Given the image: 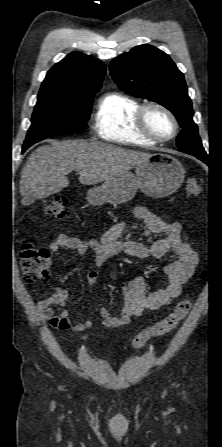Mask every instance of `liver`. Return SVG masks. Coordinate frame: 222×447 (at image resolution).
<instances>
[{
	"label": "liver",
	"instance_id": "obj_1",
	"mask_svg": "<svg viewBox=\"0 0 222 447\" xmlns=\"http://www.w3.org/2000/svg\"><path fill=\"white\" fill-rule=\"evenodd\" d=\"M150 153L84 140L51 141L29 156L21 172V203L43 199L69 185L67 175L77 171L79 181L93 185L114 178L145 161Z\"/></svg>",
	"mask_w": 222,
	"mask_h": 447
}]
</instances>
